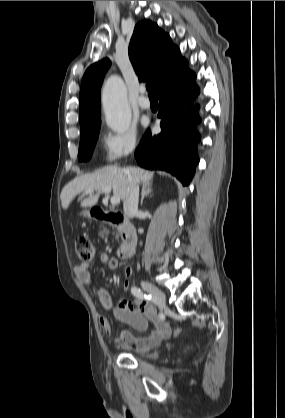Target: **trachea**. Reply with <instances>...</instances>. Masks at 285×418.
Here are the masks:
<instances>
[{"label": "trachea", "mask_w": 285, "mask_h": 418, "mask_svg": "<svg viewBox=\"0 0 285 418\" xmlns=\"http://www.w3.org/2000/svg\"><path fill=\"white\" fill-rule=\"evenodd\" d=\"M153 88H154V86H153L152 83H147L146 84V89L148 91L149 98H156V94H155Z\"/></svg>", "instance_id": "1"}]
</instances>
